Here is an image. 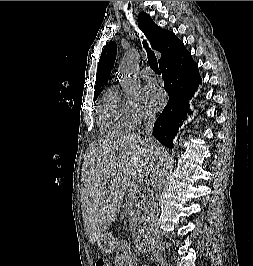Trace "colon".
<instances>
[{"instance_id": "obj_1", "label": "colon", "mask_w": 253, "mask_h": 266, "mask_svg": "<svg viewBox=\"0 0 253 266\" xmlns=\"http://www.w3.org/2000/svg\"><path fill=\"white\" fill-rule=\"evenodd\" d=\"M95 266H109L105 259H98L95 263Z\"/></svg>"}]
</instances>
